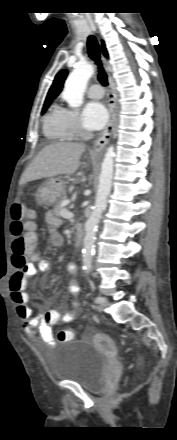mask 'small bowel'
Listing matches in <instances>:
<instances>
[{"mask_svg": "<svg viewBox=\"0 0 177 440\" xmlns=\"http://www.w3.org/2000/svg\"><path fill=\"white\" fill-rule=\"evenodd\" d=\"M45 221L48 225V235L52 245H63V236L58 231V228L61 226V220L52 212H47ZM49 269V261L34 255L26 267L16 269L12 273L8 280V289L11 292L12 300L16 305L17 315L23 322V328L27 336L37 343L53 347L55 345L53 327L61 322L69 323L73 321L79 313V304L74 302L72 309L65 313H61L46 304L42 306L40 313L34 315L33 309L28 305V295L25 292L27 280L34 277L38 272H47ZM76 271V265L70 263L68 265L69 274L74 275ZM69 289L72 294L79 292L74 279L71 280Z\"/></svg>", "mask_w": 177, "mask_h": 440, "instance_id": "c3829d8e", "label": "small bowel"}]
</instances>
